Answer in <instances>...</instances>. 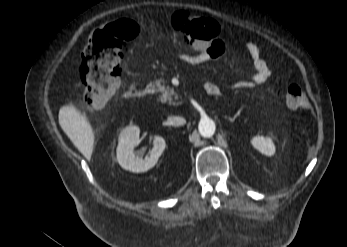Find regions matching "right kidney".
I'll return each instance as SVG.
<instances>
[{"label":"right kidney","instance_id":"obj_1","mask_svg":"<svg viewBox=\"0 0 347 247\" xmlns=\"http://www.w3.org/2000/svg\"><path fill=\"white\" fill-rule=\"evenodd\" d=\"M140 129L137 126L126 127L119 136L117 161L120 166L134 173L146 172L155 166L163 153L166 143L161 136H155L149 156L143 158L142 151H134L138 145Z\"/></svg>","mask_w":347,"mask_h":247}]
</instances>
